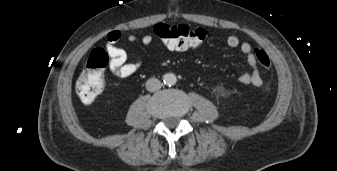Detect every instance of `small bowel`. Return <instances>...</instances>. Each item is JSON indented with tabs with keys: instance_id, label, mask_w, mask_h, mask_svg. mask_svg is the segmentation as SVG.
I'll return each mask as SVG.
<instances>
[{
	"instance_id": "1",
	"label": "small bowel",
	"mask_w": 337,
	"mask_h": 171,
	"mask_svg": "<svg viewBox=\"0 0 337 171\" xmlns=\"http://www.w3.org/2000/svg\"><path fill=\"white\" fill-rule=\"evenodd\" d=\"M122 39H125L129 43H135L138 40L134 34L123 35L119 31H113L106 37V50L109 55V69L111 73L118 78L125 79L135 75L141 65L139 62H128L126 50L116 45ZM140 41L144 46H150L153 43V37L146 34L141 37ZM226 43L231 48H240L250 69L249 72L240 75L239 81L245 85L260 87L263 84V80L257 69V60L253 54L252 46L247 42L242 43L236 36H229Z\"/></svg>"
}]
</instances>
